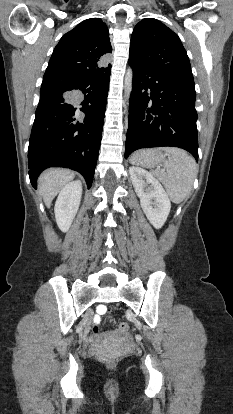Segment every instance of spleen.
<instances>
[{"mask_svg": "<svg viewBox=\"0 0 233 414\" xmlns=\"http://www.w3.org/2000/svg\"><path fill=\"white\" fill-rule=\"evenodd\" d=\"M165 152L168 160L164 162L163 170L155 169L152 173L162 182L171 200L179 204L189 198L198 166L195 159L181 149L168 148ZM137 154L131 157V163L146 167L139 161Z\"/></svg>", "mask_w": 233, "mask_h": 414, "instance_id": "3e777b00", "label": "spleen"}]
</instances>
